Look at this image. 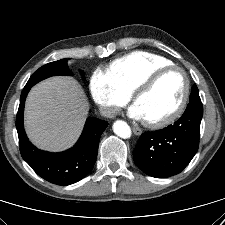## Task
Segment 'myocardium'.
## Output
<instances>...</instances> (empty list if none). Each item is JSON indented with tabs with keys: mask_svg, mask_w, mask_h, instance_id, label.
Returning a JSON list of instances; mask_svg holds the SVG:
<instances>
[{
	"mask_svg": "<svg viewBox=\"0 0 225 225\" xmlns=\"http://www.w3.org/2000/svg\"><path fill=\"white\" fill-rule=\"evenodd\" d=\"M173 70L179 71L183 76L184 89H183L182 98H181L179 104L177 105V107L171 113L166 115L165 117L160 118L158 120H144V124L150 128L158 129V128L165 127V126L173 123L174 121H176L182 115V113L184 112V110L187 106L189 95H190L189 77H188L186 71L182 67H180L178 65H173V64L168 65V66L162 67V68L154 71L153 73H151L148 77H146L140 83V85L133 92L132 100L135 103V101L140 96H142L143 94L148 92L164 74H166L170 71H173Z\"/></svg>",
	"mask_w": 225,
	"mask_h": 225,
	"instance_id": "1",
	"label": "myocardium"
}]
</instances>
